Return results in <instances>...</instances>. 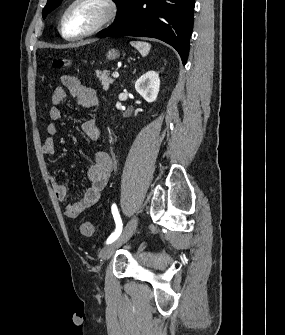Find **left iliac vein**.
<instances>
[{"mask_svg": "<svg viewBox=\"0 0 285 335\" xmlns=\"http://www.w3.org/2000/svg\"><path fill=\"white\" fill-rule=\"evenodd\" d=\"M137 225H138L137 218L134 217L130 219L125 225L120 236L114 242L109 243L108 245L103 247V249L100 252V256L103 262H106L119 247H121L132 237L134 231L137 228Z\"/></svg>", "mask_w": 285, "mask_h": 335, "instance_id": "1", "label": "left iliac vein"}]
</instances>
